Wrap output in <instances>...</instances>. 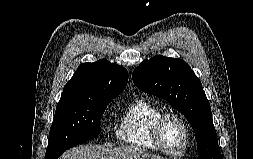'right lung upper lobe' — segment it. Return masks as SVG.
<instances>
[{"label": "right lung upper lobe", "instance_id": "1", "mask_svg": "<svg viewBox=\"0 0 253 159\" xmlns=\"http://www.w3.org/2000/svg\"><path fill=\"white\" fill-rule=\"evenodd\" d=\"M127 81V70L105 59L83 63L64 86L60 100L78 97L116 98Z\"/></svg>", "mask_w": 253, "mask_h": 159}]
</instances>
